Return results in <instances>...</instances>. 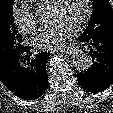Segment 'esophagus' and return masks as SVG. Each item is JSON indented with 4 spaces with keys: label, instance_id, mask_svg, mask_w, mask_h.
I'll use <instances>...</instances> for the list:
<instances>
[{
    "label": "esophagus",
    "instance_id": "34e87169",
    "mask_svg": "<svg viewBox=\"0 0 113 113\" xmlns=\"http://www.w3.org/2000/svg\"><path fill=\"white\" fill-rule=\"evenodd\" d=\"M60 52L66 53V54H72L73 47H66L60 50Z\"/></svg>",
    "mask_w": 113,
    "mask_h": 113
}]
</instances>
